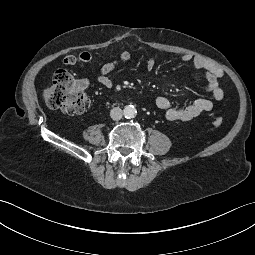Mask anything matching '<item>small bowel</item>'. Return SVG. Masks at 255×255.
<instances>
[{
	"label": "small bowel",
	"mask_w": 255,
	"mask_h": 255,
	"mask_svg": "<svg viewBox=\"0 0 255 255\" xmlns=\"http://www.w3.org/2000/svg\"><path fill=\"white\" fill-rule=\"evenodd\" d=\"M130 58V52L122 51L117 59L103 64L97 78L98 82L106 88H112L114 86V81L109 77V74L121 64L128 62ZM182 60L183 62L190 63L194 69L202 71L205 74L207 92L210 93L215 100L220 101L224 98V91L219 85V80L224 76L222 68L200 56L186 54L182 57ZM90 61L91 55L88 52H82L78 55H67L63 59V64L65 66H73L76 64H87ZM146 68L148 72L154 73L156 68L155 60L152 58L148 59ZM82 84L87 85L88 82L83 80ZM154 103L157 108L164 111L165 117L169 121H190L213 108V102L207 98H197L184 107L173 106L171 101L164 96L156 97Z\"/></svg>",
	"instance_id": "small-bowel-1"
}]
</instances>
